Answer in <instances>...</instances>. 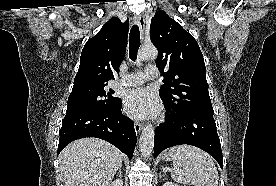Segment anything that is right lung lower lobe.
<instances>
[{
  "label": "right lung lower lobe",
  "instance_id": "98d812e1",
  "mask_svg": "<svg viewBox=\"0 0 276 186\" xmlns=\"http://www.w3.org/2000/svg\"><path fill=\"white\" fill-rule=\"evenodd\" d=\"M122 101L108 111H80L66 114L59 131L58 154L70 142L95 137L103 139L132 158L136 133L133 122L121 113Z\"/></svg>",
  "mask_w": 276,
  "mask_h": 186
}]
</instances>
